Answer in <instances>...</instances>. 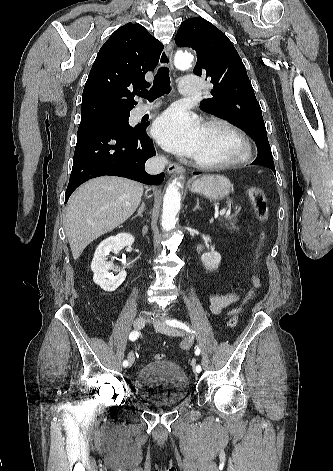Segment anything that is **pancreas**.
I'll return each instance as SVG.
<instances>
[{
  "label": "pancreas",
  "instance_id": "1",
  "mask_svg": "<svg viewBox=\"0 0 333 471\" xmlns=\"http://www.w3.org/2000/svg\"><path fill=\"white\" fill-rule=\"evenodd\" d=\"M222 225L228 229H236L237 218L235 215L225 216V220H222Z\"/></svg>",
  "mask_w": 333,
  "mask_h": 471
}]
</instances>
